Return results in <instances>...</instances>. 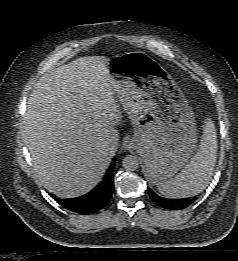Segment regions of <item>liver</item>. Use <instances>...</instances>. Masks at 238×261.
Listing matches in <instances>:
<instances>
[{"label": "liver", "mask_w": 238, "mask_h": 261, "mask_svg": "<svg viewBox=\"0 0 238 261\" xmlns=\"http://www.w3.org/2000/svg\"><path fill=\"white\" fill-rule=\"evenodd\" d=\"M109 61L86 56L57 67L40 78L28 99L23 140L35 178L58 197L74 198L93 189L118 149L115 126L122 114Z\"/></svg>", "instance_id": "1"}]
</instances>
